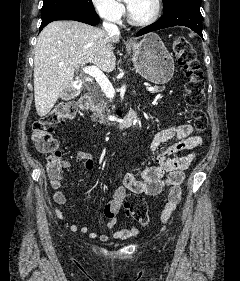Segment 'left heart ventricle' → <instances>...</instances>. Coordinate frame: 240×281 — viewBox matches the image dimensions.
Returning a JSON list of instances; mask_svg holds the SVG:
<instances>
[{"label": "left heart ventricle", "mask_w": 240, "mask_h": 281, "mask_svg": "<svg viewBox=\"0 0 240 281\" xmlns=\"http://www.w3.org/2000/svg\"><path fill=\"white\" fill-rule=\"evenodd\" d=\"M132 17L136 20L149 18L154 10L153 0H126Z\"/></svg>", "instance_id": "obj_1"}]
</instances>
